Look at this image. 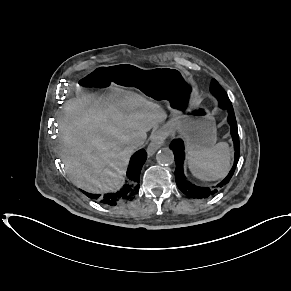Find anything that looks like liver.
Masks as SVG:
<instances>
[{
  "instance_id": "6515ba94",
  "label": "liver",
  "mask_w": 291,
  "mask_h": 291,
  "mask_svg": "<svg viewBox=\"0 0 291 291\" xmlns=\"http://www.w3.org/2000/svg\"><path fill=\"white\" fill-rule=\"evenodd\" d=\"M93 90L80 86L77 98L66 103L59 121L61 158L75 185L105 193L123 184L134 151L130 140L142 144L167 114L157 103L117 86Z\"/></svg>"
}]
</instances>
